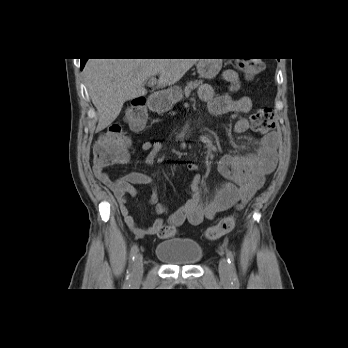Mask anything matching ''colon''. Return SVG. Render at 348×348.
<instances>
[{
  "instance_id": "1",
  "label": "colon",
  "mask_w": 348,
  "mask_h": 348,
  "mask_svg": "<svg viewBox=\"0 0 348 348\" xmlns=\"http://www.w3.org/2000/svg\"><path fill=\"white\" fill-rule=\"evenodd\" d=\"M239 70L248 78L257 76L263 70V63L258 58L238 60ZM125 120L135 131L142 130L147 123L145 100L142 97L133 100L131 106L125 113ZM250 125L254 131L267 133L274 129L275 122L273 112L270 109H258L250 116ZM131 150V139L124 132L121 124H112L102 133L94 146L95 164L101 167L116 164L124 160ZM236 217L234 214L222 218L218 224L206 231L209 240H216L229 234L235 227ZM174 226H163L159 231L162 237L175 235Z\"/></svg>"
}]
</instances>
